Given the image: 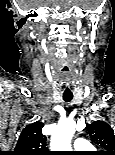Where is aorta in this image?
I'll return each mask as SVG.
<instances>
[{
  "label": "aorta",
  "instance_id": "aorta-1",
  "mask_svg": "<svg viewBox=\"0 0 115 155\" xmlns=\"http://www.w3.org/2000/svg\"><path fill=\"white\" fill-rule=\"evenodd\" d=\"M76 122L65 120L59 122L54 134L51 137L50 148L52 151H70L71 139L75 133Z\"/></svg>",
  "mask_w": 115,
  "mask_h": 155
}]
</instances>
